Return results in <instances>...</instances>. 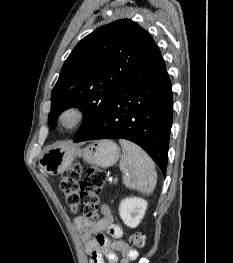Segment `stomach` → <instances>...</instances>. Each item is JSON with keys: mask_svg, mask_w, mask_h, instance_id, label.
I'll return each instance as SVG.
<instances>
[{"mask_svg": "<svg viewBox=\"0 0 233 263\" xmlns=\"http://www.w3.org/2000/svg\"><path fill=\"white\" fill-rule=\"evenodd\" d=\"M76 156H81L89 164L107 168L120 158V148L110 140L91 144L83 150H78L66 144H55L44 150L39 159V166L50 175L64 172Z\"/></svg>", "mask_w": 233, "mask_h": 263, "instance_id": "0dacf381", "label": "stomach"}]
</instances>
